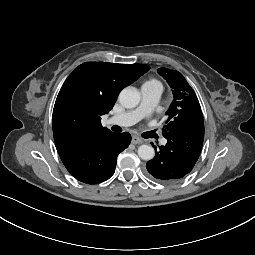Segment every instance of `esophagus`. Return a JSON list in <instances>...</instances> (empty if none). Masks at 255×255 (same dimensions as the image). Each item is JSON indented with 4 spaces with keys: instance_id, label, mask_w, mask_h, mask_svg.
I'll return each mask as SVG.
<instances>
[{
    "instance_id": "esophagus-1",
    "label": "esophagus",
    "mask_w": 255,
    "mask_h": 255,
    "mask_svg": "<svg viewBox=\"0 0 255 255\" xmlns=\"http://www.w3.org/2000/svg\"><path fill=\"white\" fill-rule=\"evenodd\" d=\"M131 142L133 144H141V143H143V140L141 138H139L138 136H132Z\"/></svg>"
}]
</instances>
